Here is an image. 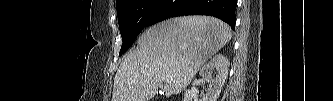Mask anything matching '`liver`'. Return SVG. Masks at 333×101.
<instances>
[{"label":"liver","mask_w":333,"mask_h":101,"mask_svg":"<svg viewBox=\"0 0 333 101\" xmlns=\"http://www.w3.org/2000/svg\"><path fill=\"white\" fill-rule=\"evenodd\" d=\"M229 25L209 16H185L147 29L115 75L112 101H149L185 90L200 67L231 40ZM166 75H172L167 81Z\"/></svg>","instance_id":"liver-1"}]
</instances>
